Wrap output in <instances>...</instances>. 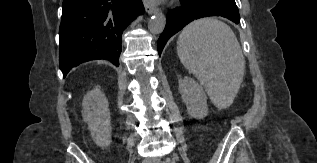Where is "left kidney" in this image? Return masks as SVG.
<instances>
[{
  "label": "left kidney",
  "mask_w": 317,
  "mask_h": 163,
  "mask_svg": "<svg viewBox=\"0 0 317 163\" xmlns=\"http://www.w3.org/2000/svg\"><path fill=\"white\" fill-rule=\"evenodd\" d=\"M179 92L191 117L203 119L208 115L207 96L195 80L190 77L181 79L179 81Z\"/></svg>",
  "instance_id": "1"
}]
</instances>
